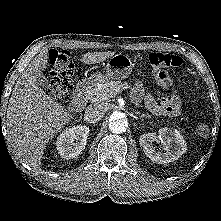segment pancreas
I'll list each match as a JSON object with an SVG mask.
<instances>
[{
  "label": "pancreas",
  "instance_id": "cf45deb5",
  "mask_svg": "<svg viewBox=\"0 0 221 221\" xmlns=\"http://www.w3.org/2000/svg\"><path fill=\"white\" fill-rule=\"evenodd\" d=\"M129 87V84L126 82L103 81L89 90V98L95 103L110 101V99L115 97L119 92Z\"/></svg>",
  "mask_w": 221,
  "mask_h": 221
}]
</instances>
